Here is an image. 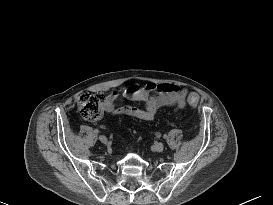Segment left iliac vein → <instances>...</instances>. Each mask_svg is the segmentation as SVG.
I'll return each instance as SVG.
<instances>
[{
	"label": "left iliac vein",
	"mask_w": 273,
	"mask_h": 205,
	"mask_svg": "<svg viewBox=\"0 0 273 205\" xmlns=\"http://www.w3.org/2000/svg\"><path fill=\"white\" fill-rule=\"evenodd\" d=\"M153 149L160 152L164 149V144L162 142L155 143Z\"/></svg>",
	"instance_id": "left-iliac-vein-1"
}]
</instances>
